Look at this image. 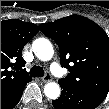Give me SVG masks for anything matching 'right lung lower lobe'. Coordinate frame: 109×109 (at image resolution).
I'll use <instances>...</instances> for the list:
<instances>
[{"mask_svg": "<svg viewBox=\"0 0 109 109\" xmlns=\"http://www.w3.org/2000/svg\"><path fill=\"white\" fill-rule=\"evenodd\" d=\"M27 82H24L10 90L8 93L1 95V109H12L17 105Z\"/></svg>", "mask_w": 109, "mask_h": 109, "instance_id": "1", "label": "right lung lower lobe"}]
</instances>
